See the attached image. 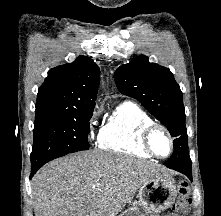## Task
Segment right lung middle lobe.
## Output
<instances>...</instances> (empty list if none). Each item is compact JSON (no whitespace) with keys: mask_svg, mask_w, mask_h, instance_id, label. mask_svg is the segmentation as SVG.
I'll return each mask as SVG.
<instances>
[{"mask_svg":"<svg viewBox=\"0 0 221 216\" xmlns=\"http://www.w3.org/2000/svg\"><path fill=\"white\" fill-rule=\"evenodd\" d=\"M92 114L93 110H86L35 123L31 166L44 165L69 153L88 150Z\"/></svg>","mask_w":221,"mask_h":216,"instance_id":"right-lung-middle-lobe-1","label":"right lung middle lobe"}]
</instances>
